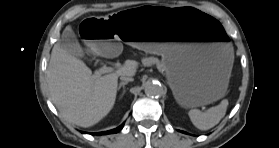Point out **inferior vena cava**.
<instances>
[{"mask_svg":"<svg viewBox=\"0 0 279 148\" xmlns=\"http://www.w3.org/2000/svg\"><path fill=\"white\" fill-rule=\"evenodd\" d=\"M120 79L125 82V81H133V78L132 77H128V76H121Z\"/></svg>","mask_w":279,"mask_h":148,"instance_id":"1","label":"inferior vena cava"}]
</instances>
